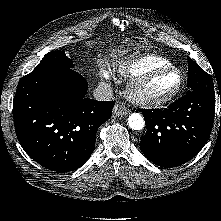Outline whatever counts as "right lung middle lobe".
Here are the masks:
<instances>
[{"instance_id": "right-lung-middle-lobe-1", "label": "right lung middle lobe", "mask_w": 221, "mask_h": 221, "mask_svg": "<svg viewBox=\"0 0 221 221\" xmlns=\"http://www.w3.org/2000/svg\"><path fill=\"white\" fill-rule=\"evenodd\" d=\"M73 67L74 65L72 61L65 55V51H53L44 56L40 64L36 66L31 74L50 68L64 69Z\"/></svg>"}]
</instances>
